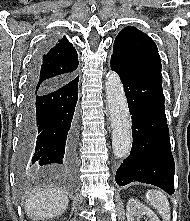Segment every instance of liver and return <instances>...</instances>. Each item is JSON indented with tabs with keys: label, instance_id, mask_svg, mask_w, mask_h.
<instances>
[{
	"label": "liver",
	"instance_id": "6515ba94",
	"mask_svg": "<svg viewBox=\"0 0 190 221\" xmlns=\"http://www.w3.org/2000/svg\"><path fill=\"white\" fill-rule=\"evenodd\" d=\"M68 203L67 196L58 189L36 190L27 195L25 211L34 221H44L65 212Z\"/></svg>",
	"mask_w": 190,
	"mask_h": 221
}]
</instances>
